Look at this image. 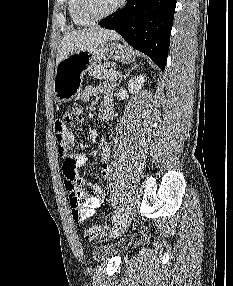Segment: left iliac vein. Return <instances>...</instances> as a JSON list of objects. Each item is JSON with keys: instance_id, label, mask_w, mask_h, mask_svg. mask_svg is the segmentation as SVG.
<instances>
[{"instance_id": "4c4485c4", "label": "left iliac vein", "mask_w": 233, "mask_h": 286, "mask_svg": "<svg viewBox=\"0 0 233 286\" xmlns=\"http://www.w3.org/2000/svg\"><path fill=\"white\" fill-rule=\"evenodd\" d=\"M132 218V208H128L119 216L117 223H115L110 237L116 238L121 235L129 226Z\"/></svg>"}]
</instances>
